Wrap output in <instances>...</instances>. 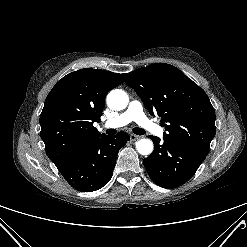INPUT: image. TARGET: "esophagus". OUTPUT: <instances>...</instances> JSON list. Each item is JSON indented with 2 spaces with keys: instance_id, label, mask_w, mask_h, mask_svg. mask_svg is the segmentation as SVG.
<instances>
[{
  "instance_id": "esophagus-1",
  "label": "esophagus",
  "mask_w": 247,
  "mask_h": 247,
  "mask_svg": "<svg viewBox=\"0 0 247 247\" xmlns=\"http://www.w3.org/2000/svg\"><path fill=\"white\" fill-rule=\"evenodd\" d=\"M140 138H141V136H138V135H135V134H130L131 141H136V140H138Z\"/></svg>"
}]
</instances>
